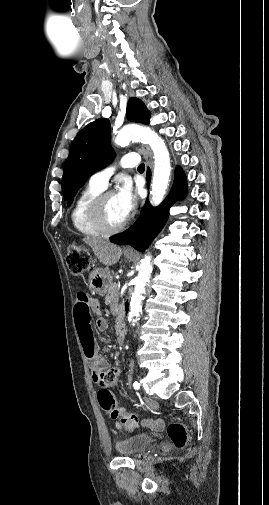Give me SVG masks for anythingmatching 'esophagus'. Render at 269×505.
<instances>
[{"label": "esophagus", "mask_w": 269, "mask_h": 505, "mask_svg": "<svg viewBox=\"0 0 269 505\" xmlns=\"http://www.w3.org/2000/svg\"><path fill=\"white\" fill-rule=\"evenodd\" d=\"M141 149H142V152H143V156H144V158L147 161V165L150 168H152L153 167V159H152V153H151L150 149L148 148V146H145V145H142ZM124 251L128 252V253H133L134 252L133 248L130 245L125 246L124 247Z\"/></svg>", "instance_id": "1"}]
</instances>
